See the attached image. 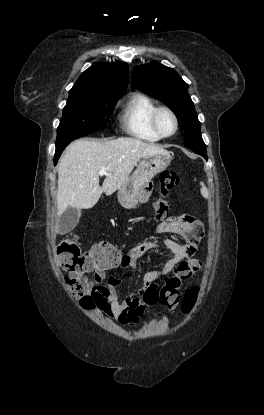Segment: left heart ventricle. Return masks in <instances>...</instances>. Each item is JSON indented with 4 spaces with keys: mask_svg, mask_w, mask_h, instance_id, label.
I'll return each instance as SVG.
<instances>
[{
    "mask_svg": "<svg viewBox=\"0 0 264 415\" xmlns=\"http://www.w3.org/2000/svg\"><path fill=\"white\" fill-rule=\"evenodd\" d=\"M158 126L163 134L172 133L175 127L173 118L165 111L161 112L158 116Z\"/></svg>",
    "mask_w": 264,
    "mask_h": 415,
    "instance_id": "obj_1",
    "label": "left heart ventricle"
}]
</instances>
